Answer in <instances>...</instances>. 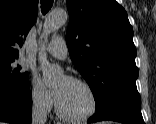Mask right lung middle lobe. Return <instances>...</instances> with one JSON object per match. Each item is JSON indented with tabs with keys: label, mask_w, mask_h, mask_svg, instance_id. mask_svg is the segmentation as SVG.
Returning a JSON list of instances; mask_svg holds the SVG:
<instances>
[{
	"label": "right lung middle lobe",
	"mask_w": 156,
	"mask_h": 124,
	"mask_svg": "<svg viewBox=\"0 0 156 124\" xmlns=\"http://www.w3.org/2000/svg\"><path fill=\"white\" fill-rule=\"evenodd\" d=\"M13 60L0 61V81L14 86H25L29 82L27 72L21 71V67L13 68L11 63Z\"/></svg>",
	"instance_id": "obj_1"
}]
</instances>
